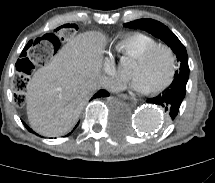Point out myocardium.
Instances as JSON below:
<instances>
[{
    "mask_svg": "<svg viewBox=\"0 0 215 183\" xmlns=\"http://www.w3.org/2000/svg\"><path fill=\"white\" fill-rule=\"evenodd\" d=\"M158 51H165L166 53H168L170 60H171V72H170L169 77L167 78V80L164 83H162L161 85H159L153 89L148 90V92L152 93V94L159 93V92L165 90L166 88H168L173 83V81L176 77V74H177V69H178L177 58H176L174 51L168 45H165V44H158V45H155V46L145 50L144 52L140 53L136 57V60L141 61V62L146 61V60L150 59Z\"/></svg>",
    "mask_w": 215,
    "mask_h": 183,
    "instance_id": "obj_1",
    "label": "myocardium"
}]
</instances>
